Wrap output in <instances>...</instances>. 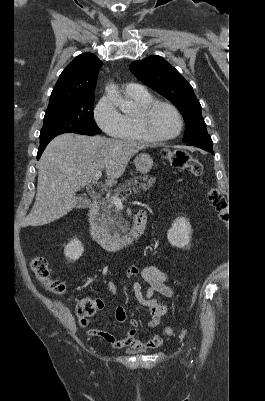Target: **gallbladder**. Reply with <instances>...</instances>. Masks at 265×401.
<instances>
[{
  "label": "gallbladder",
  "instance_id": "bac80fb5",
  "mask_svg": "<svg viewBox=\"0 0 265 401\" xmlns=\"http://www.w3.org/2000/svg\"><path fill=\"white\" fill-rule=\"evenodd\" d=\"M76 203V209H87L91 205L90 198H86V196H78Z\"/></svg>",
  "mask_w": 265,
  "mask_h": 401
}]
</instances>
